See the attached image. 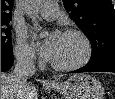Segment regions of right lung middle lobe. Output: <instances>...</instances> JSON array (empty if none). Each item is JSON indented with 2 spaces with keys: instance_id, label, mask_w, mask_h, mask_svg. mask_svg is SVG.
Returning <instances> with one entry per match:
<instances>
[{
  "instance_id": "dd1d6c3e",
  "label": "right lung middle lobe",
  "mask_w": 115,
  "mask_h": 99,
  "mask_svg": "<svg viewBox=\"0 0 115 99\" xmlns=\"http://www.w3.org/2000/svg\"><path fill=\"white\" fill-rule=\"evenodd\" d=\"M9 23L1 24V56L13 55L11 29Z\"/></svg>"
}]
</instances>
